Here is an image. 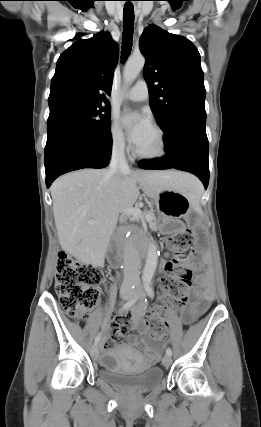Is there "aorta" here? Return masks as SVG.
I'll return each mask as SVG.
<instances>
[{"instance_id":"762f6f07","label":"aorta","mask_w":261,"mask_h":427,"mask_svg":"<svg viewBox=\"0 0 261 427\" xmlns=\"http://www.w3.org/2000/svg\"><path fill=\"white\" fill-rule=\"evenodd\" d=\"M145 65V58L142 55H133L127 61L124 71V84L128 87L139 75ZM158 255L157 246L154 242H150L147 250L146 263L142 275L144 282H150L153 278L157 267Z\"/></svg>"}]
</instances>
